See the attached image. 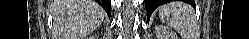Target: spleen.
<instances>
[{
	"mask_svg": "<svg viewBox=\"0 0 249 39\" xmlns=\"http://www.w3.org/2000/svg\"><path fill=\"white\" fill-rule=\"evenodd\" d=\"M158 11L162 22L174 28L178 23L191 17L190 8L177 6L173 2L160 6Z\"/></svg>",
	"mask_w": 249,
	"mask_h": 39,
	"instance_id": "1",
	"label": "spleen"
}]
</instances>
